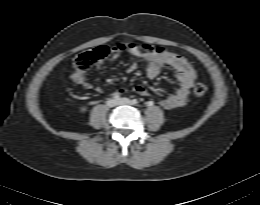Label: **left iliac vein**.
Here are the masks:
<instances>
[{
  "instance_id": "4c4485c4",
  "label": "left iliac vein",
  "mask_w": 260,
  "mask_h": 205,
  "mask_svg": "<svg viewBox=\"0 0 260 205\" xmlns=\"http://www.w3.org/2000/svg\"><path fill=\"white\" fill-rule=\"evenodd\" d=\"M119 105H131L132 101L128 98H121L118 100Z\"/></svg>"
}]
</instances>
